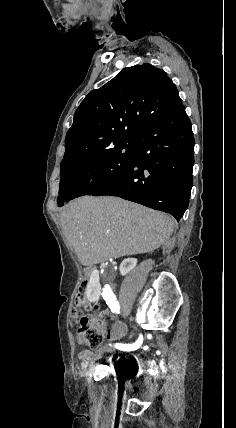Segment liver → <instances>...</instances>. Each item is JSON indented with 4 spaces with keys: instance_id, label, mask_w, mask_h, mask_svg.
Wrapping results in <instances>:
<instances>
[{
    "instance_id": "6515ba94",
    "label": "liver",
    "mask_w": 236,
    "mask_h": 428,
    "mask_svg": "<svg viewBox=\"0 0 236 428\" xmlns=\"http://www.w3.org/2000/svg\"><path fill=\"white\" fill-rule=\"evenodd\" d=\"M60 220L83 266L154 252L173 232L169 216L112 196L76 198Z\"/></svg>"
}]
</instances>
